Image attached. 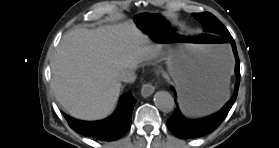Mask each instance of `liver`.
I'll use <instances>...</instances> for the list:
<instances>
[{"label": "liver", "instance_id": "obj_1", "mask_svg": "<svg viewBox=\"0 0 279 148\" xmlns=\"http://www.w3.org/2000/svg\"><path fill=\"white\" fill-rule=\"evenodd\" d=\"M160 51L133 22L77 28L62 37L51 63L55 97L75 118H105L121 90L119 74Z\"/></svg>", "mask_w": 279, "mask_h": 148}]
</instances>
